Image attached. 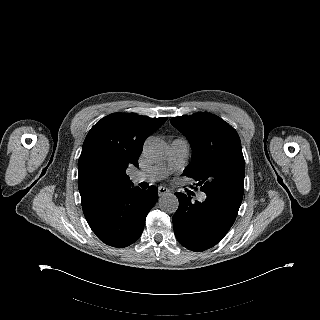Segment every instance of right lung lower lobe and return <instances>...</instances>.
Segmentation results:
<instances>
[{
	"label": "right lung lower lobe",
	"instance_id": "obj_1",
	"mask_svg": "<svg viewBox=\"0 0 320 320\" xmlns=\"http://www.w3.org/2000/svg\"><path fill=\"white\" fill-rule=\"evenodd\" d=\"M158 189L119 187L103 190L82 201L85 218L105 244L124 248L142 234L146 216L158 199Z\"/></svg>",
	"mask_w": 320,
	"mask_h": 320
}]
</instances>
